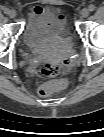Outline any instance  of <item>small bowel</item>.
Returning <instances> with one entry per match:
<instances>
[{
	"label": "small bowel",
	"mask_w": 104,
	"mask_h": 137,
	"mask_svg": "<svg viewBox=\"0 0 104 137\" xmlns=\"http://www.w3.org/2000/svg\"><path fill=\"white\" fill-rule=\"evenodd\" d=\"M45 9L40 6H34L30 9L29 26L32 30H38L45 26V21L41 18Z\"/></svg>",
	"instance_id": "small-bowel-1"
}]
</instances>
